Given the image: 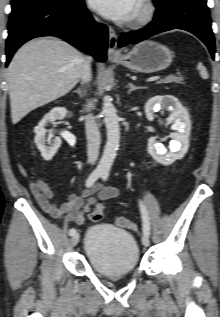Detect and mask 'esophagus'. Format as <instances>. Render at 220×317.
I'll return each instance as SVG.
<instances>
[{
	"label": "esophagus",
	"instance_id": "1",
	"mask_svg": "<svg viewBox=\"0 0 220 317\" xmlns=\"http://www.w3.org/2000/svg\"><path fill=\"white\" fill-rule=\"evenodd\" d=\"M119 51L117 50V34L114 29L109 26V40H108V57H118Z\"/></svg>",
	"mask_w": 220,
	"mask_h": 317
}]
</instances>
